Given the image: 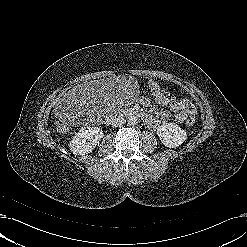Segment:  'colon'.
<instances>
[{"mask_svg": "<svg viewBox=\"0 0 247 247\" xmlns=\"http://www.w3.org/2000/svg\"><path fill=\"white\" fill-rule=\"evenodd\" d=\"M149 99L155 103L169 102L172 98V93L170 91H162L158 88L150 89ZM196 119L194 116H190L186 122L188 127H193L195 125ZM69 128V119H60L56 123V129L58 132H65Z\"/></svg>", "mask_w": 247, "mask_h": 247, "instance_id": "5ec220e1", "label": "colon"}]
</instances>
